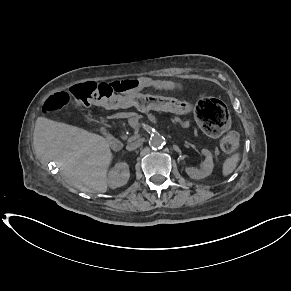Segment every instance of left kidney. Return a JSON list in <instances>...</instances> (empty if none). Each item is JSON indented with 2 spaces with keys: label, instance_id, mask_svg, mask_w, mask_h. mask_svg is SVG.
I'll return each mask as SVG.
<instances>
[{
  "label": "left kidney",
  "instance_id": "5707ae66",
  "mask_svg": "<svg viewBox=\"0 0 291 291\" xmlns=\"http://www.w3.org/2000/svg\"><path fill=\"white\" fill-rule=\"evenodd\" d=\"M201 153L205 156V160L202 163L201 170L190 168V167L185 168V172L192 179H197V180L203 179L205 177H208L213 171L214 164H213V158H212L211 152L207 149H202Z\"/></svg>",
  "mask_w": 291,
  "mask_h": 291
}]
</instances>
